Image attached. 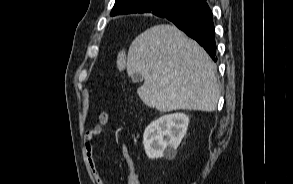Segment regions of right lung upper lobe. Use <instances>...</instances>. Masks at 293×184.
Segmentation results:
<instances>
[{"mask_svg":"<svg viewBox=\"0 0 293 184\" xmlns=\"http://www.w3.org/2000/svg\"><path fill=\"white\" fill-rule=\"evenodd\" d=\"M156 2H163L164 6L158 5ZM190 3L207 5L206 0H116L110 15L153 13L161 17L167 12Z\"/></svg>","mask_w":293,"mask_h":184,"instance_id":"obj_1","label":"right lung upper lobe"}]
</instances>
